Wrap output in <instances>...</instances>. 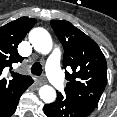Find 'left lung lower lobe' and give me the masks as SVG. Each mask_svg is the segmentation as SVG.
I'll return each instance as SVG.
<instances>
[{
  "label": "left lung lower lobe",
  "instance_id": "obj_1",
  "mask_svg": "<svg viewBox=\"0 0 117 117\" xmlns=\"http://www.w3.org/2000/svg\"><path fill=\"white\" fill-rule=\"evenodd\" d=\"M47 117H87L91 112L80 106L66 95L57 92V99L44 106Z\"/></svg>",
  "mask_w": 117,
  "mask_h": 117
}]
</instances>
